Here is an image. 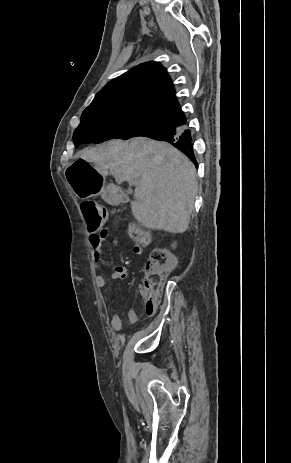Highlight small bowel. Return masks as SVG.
<instances>
[{
	"label": "small bowel",
	"instance_id": "1",
	"mask_svg": "<svg viewBox=\"0 0 291 463\" xmlns=\"http://www.w3.org/2000/svg\"><path fill=\"white\" fill-rule=\"evenodd\" d=\"M107 234H108V231L107 229H102L98 232H89L88 233V244L89 246L91 247V249L93 250V255H94V259H95V262L98 266H101L102 265V252H101V247H102V244L105 240V238L107 237ZM114 245H117L118 244V240L115 239L113 241ZM133 251L134 253L136 254H141L142 251H143V244L141 243H136L133 247ZM127 274H128V270H127V267L124 266V265H117L110 273H109V277L112 278V279H115V280H123L127 277ZM96 284L97 286L99 287H104L106 285V279L102 276H99L97 277L96 279ZM149 315V314H147ZM128 316H129V319H130V322L131 323H136L138 321V316L136 314V311H135V308L134 306H130L129 310H128ZM151 316V315H149ZM111 327L116 330V331H119L122 327V319H121V316L119 314V312L115 311L113 313V316H112V319H111Z\"/></svg>",
	"mask_w": 291,
	"mask_h": 463
}]
</instances>
